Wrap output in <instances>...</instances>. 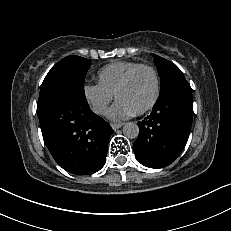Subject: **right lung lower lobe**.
<instances>
[{
  "instance_id": "right-lung-lower-lobe-1",
  "label": "right lung lower lobe",
  "mask_w": 231,
  "mask_h": 231,
  "mask_svg": "<svg viewBox=\"0 0 231 231\" xmlns=\"http://www.w3.org/2000/svg\"><path fill=\"white\" fill-rule=\"evenodd\" d=\"M37 113L47 148L62 168L85 175L103 167L113 130L90 110L85 98L58 93L38 104Z\"/></svg>"
}]
</instances>
